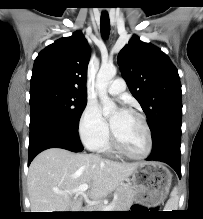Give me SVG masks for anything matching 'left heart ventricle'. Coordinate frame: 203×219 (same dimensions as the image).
Masks as SVG:
<instances>
[{"label":"left heart ventricle","instance_id":"b2bd125f","mask_svg":"<svg viewBox=\"0 0 203 219\" xmlns=\"http://www.w3.org/2000/svg\"><path fill=\"white\" fill-rule=\"evenodd\" d=\"M110 121L116 136L128 151L134 154L144 152L146 132L139 118L129 112L125 114L115 112Z\"/></svg>","mask_w":203,"mask_h":219}]
</instances>
